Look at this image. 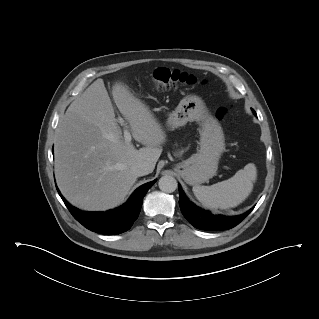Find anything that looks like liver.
I'll use <instances>...</instances> for the list:
<instances>
[{"label":"liver","instance_id":"6515ba94","mask_svg":"<svg viewBox=\"0 0 319 319\" xmlns=\"http://www.w3.org/2000/svg\"><path fill=\"white\" fill-rule=\"evenodd\" d=\"M112 96L133 138L145 147L137 150L125 142L103 79L70 104L56 129L57 185L72 205L87 211L121 204L138 177L131 167L147 162L152 172L166 140L157 118L126 85L116 82Z\"/></svg>","mask_w":319,"mask_h":319}]
</instances>
